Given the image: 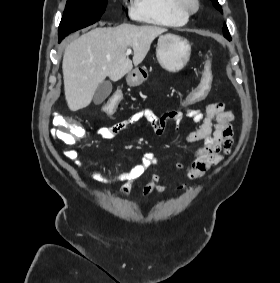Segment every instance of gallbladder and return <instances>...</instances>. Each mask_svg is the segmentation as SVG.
Here are the masks:
<instances>
[{
	"label": "gallbladder",
	"instance_id": "bac80fb5",
	"mask_svg": "<svg viewBox=\"0 0 280 283\" xmlns=\"http://www.w3.org/2000/svg\"><path fill=\"white\" fill-rule=\"evenodd\" d=\"M112 92V83L109 80H104L99 84L94 93V104H101Z\"/></svg>",
	"mask_w": 280,
	"mask_h": 283
}]
</instances>
